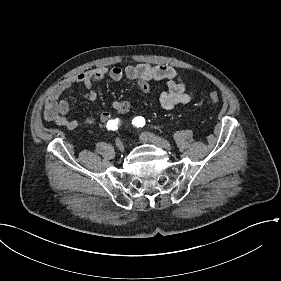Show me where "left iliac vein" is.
Wrapping results in <instances>:
<instances>
[{"mask_svg":"<svg viewBox=\"0 0 281 281\" xmlns=\"http://www.w3.org/2000/svg\"><path fill=\"white\" fill-rule=\"evenodd\" d=\"M140 139L142 142H151L161 148H164L166 150H171V145L168 141L152 133L144 132L140 135Z\"/></svg>","mask_w":281,"mask_h":281,"instance_id":"left-iliac-vein-1","label":"left iliac vein"}]
</instances>
